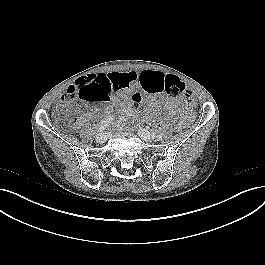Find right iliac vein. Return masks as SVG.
<instances>
[{
  "label": "right iliac vein",
  "mask_w": 265,
  "mask_h": 265,
  "mask_svg": "<svg viewBox=\"0 0 265 265\" xmlns=\"http://www.w3.org/2000/svg\"><path fill=\"white\" fill-rule=\"evenodd\" d=\"M107 140V136L105 133H99L97 136H96V141L98 143H104L105 141Z\"/></svg>",
  "instance_id": "obj_1"
}]
</instances>
